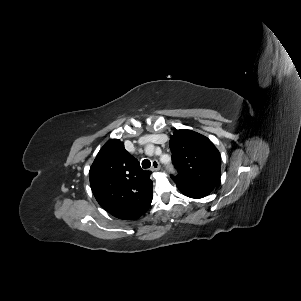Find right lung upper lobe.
<instances>
[{
    "mask_svg": "<svg viewBox=\"0 0 301 301\" xmlns=\"http://www.w3.org/2000/svg\"><path fill=\"white\" fill-rule=\"evenodd\" d=\"M150 175L118 139L102 147L89 171L91 189L98 203L124 220H135L150 207L153 188Z\"/></svg>",
    "mask_w": 301,
    "mask_h": 301,
    "instance_id": "obj_1",
    "label": "right lung upper lobe"
}]
</instances>
